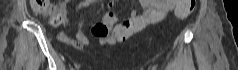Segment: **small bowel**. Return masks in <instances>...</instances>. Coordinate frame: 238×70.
<instances>
[{"mask_svg":"<svg viewBox=\"0 0 238 70\" xmlns=\"http://www.w3.org/2000/svg\"><path fill=\"white\" fill-rule=\"evenodd\" d=\"M179 1L180 0H141L144 13L139 14L136 11H132L129 20L118 24L114 30L113 27L116 23V16L113 12L109 11L91 28V34L98 38L100 44L115 45L118 41L127 39L147 25L163 20L170 11L176 10ZM94 2L95 0H85L83 5L86 6ZM69 3V0H64L57 7V11L62 15L63 19L66 18ZM57 37L64 44L77 49H82L84 46L91 44V41L82 32L80 26L77 27L74 37L64 31L59 32Z\"/></svg>","mask_w":238,"mask_h":70,"instance_id":"obj_1","label":"small bowel"}]
</instances>
